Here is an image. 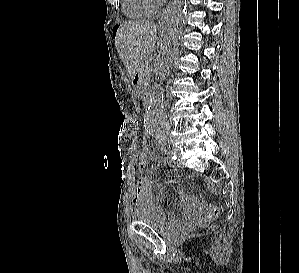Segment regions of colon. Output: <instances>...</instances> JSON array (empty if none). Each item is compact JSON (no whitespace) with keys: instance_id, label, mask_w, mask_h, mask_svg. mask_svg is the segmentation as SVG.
I'll use <instances>...</instances> for the list:
<instances>
[{"instance_id":"colon-1","label":"colon","mask_w":299,"mask_h":273,"mask_svg":"<svg viewBox=\"0 0 299 273\" xmlns=\"http://www.w3.org/2000/svg\"><path fill=\"white\" fill-rule=\"evenodd\" d=\"M142 149H148V141L146 137L140 138ZM219 214V209L217 206L211 205L208 206L206 209V215H205V222H211L214 221Z\"/></svg>"}]
</instances>
